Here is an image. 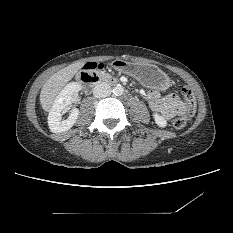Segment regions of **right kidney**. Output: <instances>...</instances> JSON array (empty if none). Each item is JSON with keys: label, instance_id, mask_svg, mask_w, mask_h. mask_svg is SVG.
Wrapping results in <instances>:
<instances>
[{"label": "right kidney", "instance_id": "1", "mask_svg": "<svg viewBox=\"0 0 233 233\" xmlns=\"http://www.w3.org/2000/svg\"><path fill=\"white\" fill-rule=\"evenodd\" d=\"M81 90V86L76 82L67 84L56 97L54 104L49 112L48 125L53 133L68 131L76 122L79 110L73 108L69 117L62 120L63 110L72 103V98Z\"/></svg>", "mask_w": 233, "mask_h": 233}]
</instances>
